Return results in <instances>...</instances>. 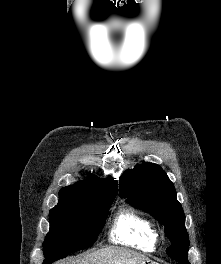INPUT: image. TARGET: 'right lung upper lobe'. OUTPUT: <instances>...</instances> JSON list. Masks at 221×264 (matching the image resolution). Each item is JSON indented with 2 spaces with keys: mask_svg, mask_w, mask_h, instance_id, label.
Listing matches in <instances>:
<instances>
[{
  "mask_svg": "<svg viewBox=\"0 0 221 264\" xmlns=\"http://www.w3.org/2000/svg\"><path fill=\"white\" fill-rule=\"evenodd\" d=\"M117 186V181L112 177L99 179L90 175L87 180L62 188L59 192L58 205L76 207L96 198L116 197Z\"/></svg>",
  "mask_w": 221,
  "mask_h": 264,
  "instance_id": "obj_1",
  "label": "right lung upper lobe"
}]
</instances>
